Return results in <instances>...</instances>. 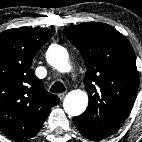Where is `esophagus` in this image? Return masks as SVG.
Here are the masks:
<instances>
[{
    "mask_svg": "<svg viewBox=\"0 0 142 142\" xmlns=\"http://www.w3.org/2000/svg\"><path fill=\"white\" fill-rule=\"evenodd\" d=\"M58 96H59L60 100H63L65 98V96H66V93L65 92L61 93Z\"/></svg>",
    "mask_w": 142,
    "mask_h": 142,
    "instance_id": "1",
    "label": "esophagus"
}]
</instances>
